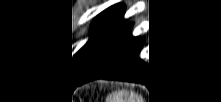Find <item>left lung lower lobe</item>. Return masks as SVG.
Wrapping results in <instances>:
<instances>
[{"label":"left lung lower lobe","mask_w":221,"mask_h":102,"mask_svg":"<svg viewBox=\"0 0 221 102\" xmlns=\"http://www.w3.org/2000/svg\"><path fill=\"white\" fill-rule=\"evenodd\" d=\"M130 27L124 23L88 67L71 80L74 87L100 78L146 84L148 64L140 58L144 39L133 37Z\"/></svg>","instance_id":"1"}]
</instances>
